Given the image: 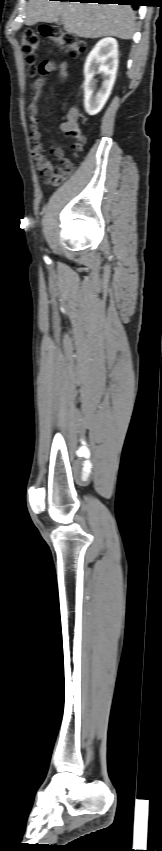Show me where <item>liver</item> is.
Masks as SVG:
<instances>
[{
  "label": "liver",
  "mask_w": 162,
  "mask_h": 851,
  "mask_svg": "<svg viewBox=\"0 0 162 851\" xmlns=\"http://www.w3.org/2000/svg\"><path fill=\"white\" fill-rule=\"evenodd\" d=\"M59 17L65 31L83 38L128 40L134 34L135 14L129 5L29 0L25 24L55 22Z\"/></svg>",
  "instance_id": "1"
}]
</instances>
